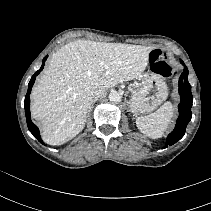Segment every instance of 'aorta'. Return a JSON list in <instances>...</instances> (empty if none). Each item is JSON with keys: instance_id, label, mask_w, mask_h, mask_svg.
<instances>
[{"instance_id": "762f6f07", "label": "aorta", "mask_w": 211, "mask_h": 211, "mask_svg": "<svg viewBox=\"0 0 211 211\" xmlns=\"http://www.w3.org/2000/svg\"><path fill=\"white\" fill-rule=\"evenodd\" d=\"M122 99V96L120 93H118L117 91H112L110 94H109V100L111 102H114V103H118L120 102Z\"/></svg>"}]
</instances>
